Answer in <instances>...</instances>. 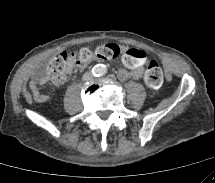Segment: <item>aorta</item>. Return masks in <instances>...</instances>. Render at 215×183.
<instances>
[{"label":"aorta","mask_w":215,"mask_h":183,"mask_svg":"<svg viewBox=\"0 0 215 183\" xmlns=\"http://www.w3.org/2000/svg\"><path fill=\"white\" fill-rule=\"evenodd\" d=\"M93 72L95 75H104L107 72V68L105 65L103 64H97L94 68H93Z\"/></svg>","instance_id":"obj_1"}]
</instances>
